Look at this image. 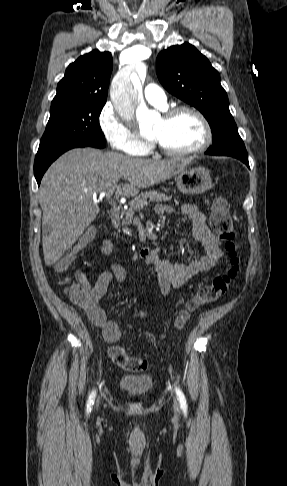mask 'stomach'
I'll list each match as a JSON object with an SVG mask.
<instances>
[{"label": "stomach", "instance_id": "obj_1", "mask_svg": "<svg viewBox=\"0 0 287 486\" xmlns=\"http://www.w3.org/2000/svg\"><path fill=\"white\" fill-rule=\"evenodd\" d=\"M176 184L178 190L187 195H199L214 186L210 170L204 166H198L197 160L194 158L178 173Z\"/></svg>", "mask_w": 287, "mask_h": 486}]
</instances>
